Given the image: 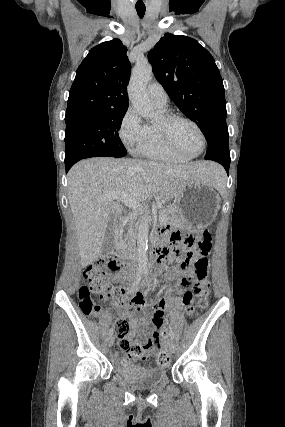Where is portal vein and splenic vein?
Wrapping results in <instances>:
<instances>
[{
    "label": "portal vein and splenic vein",
    "mask_w": 285,
    "mask_h": 427,
    "mask_svg": "<svg viewBox=\"0 0 285 427\" xmlns=\"http://www.w3.org/2000/svg\"><path fill=\"white\" fill-rule=\"evenodd\" d=\"M102 200H117L119 202L124 203L125 205L129 206L130 208L137 210L140 207V203L137 202L135 199L130 198L127 194L124 193H113L109 194L107 196H104ZM165 217L163 215H159V220L163 221Z\"/></svg>",
    "instance_id": "obj_1"
}]
</instances>
